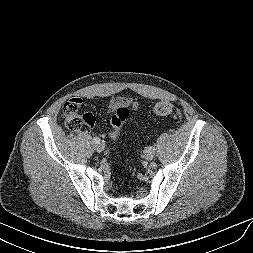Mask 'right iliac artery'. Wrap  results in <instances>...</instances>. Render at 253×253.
I'll list each match as a JSON object with an SVG mask.
<instances>
[{"mask_svg":"<svg viewBox=\"0 0 253 253\" xmlns=\"http://www.w3.org/2000/svg\"><path fill=\"white\" fill-rule=\"evenodd\" d=\"M93 142H94L95 144H97V143L100 142V139H99L98 137H95V138L93 139Z\"/></svg>","mask_w":253,"mask_h":253,"instance_id":"1","label":"right iliac artery"}]
</instances>
